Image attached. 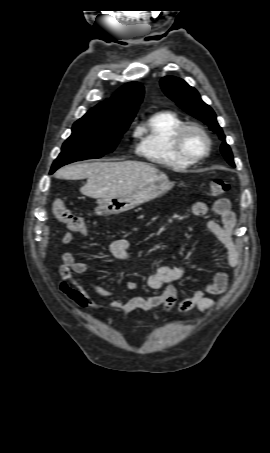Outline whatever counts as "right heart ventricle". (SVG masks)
Listing matches in <instances>:
<instances>
[{
	"label": "right heart ventricle",
	"instance_id": "e07e8e85",
	"mask_svg": "<svg viewBox=\"0 0 270 453\" xmlns=\"http://www.w3.org/2000/svg\"><path fill=\"white\" fill-rule=\"evenodd\" d=\"M184 125L177 113L163 110L152 114L139 128L137 151L148 161L176 169H184L193 162L180 157L173 147L176 131Z\"/></svg>",
	"mask_w": 270,
	"mask_h": 453
}]
</instances>
